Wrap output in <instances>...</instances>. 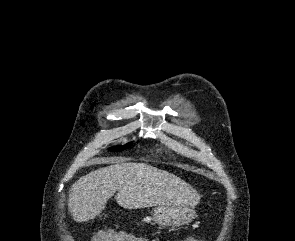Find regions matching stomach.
<instances>
[{
    "mask_svg": "<svg viewBox=\"0 0 295 241\" xmlns=\"http://www.w3.org/2000/svg\"><path fill=\"white\" fill-rule=\"evenodd\" d=\"M197 217L193 207L156 206L151 213V220L163 226H182Z\"/></svg>",
    "mask_w": 295,
    "mask_h": 241,
    "instance_id": "stomach-1",
    "label": "stomach"
}]
</instances>
